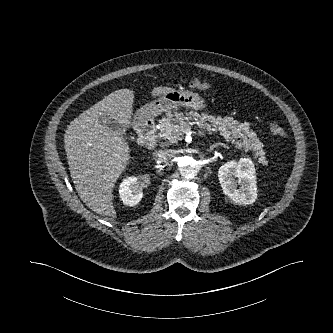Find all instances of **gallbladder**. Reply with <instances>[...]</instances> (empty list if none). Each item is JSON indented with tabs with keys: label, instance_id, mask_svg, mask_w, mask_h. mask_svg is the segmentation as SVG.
I'll use <instances>...</instances> for the list:
<instances>
[{
	"label": "gallbladder",
	"instance_id": "gallbladder-1",
	"mask_svg": "<svg viewBox=\"0 0 333 333\" xmlns=\"http://www.w3.org/2000/svg\"><path fill=\"white\" fill-rule=\"evenodd\" d=\"M103 124L109 128L111 131H113L118 136H124L125 135V127L121 124H119L117 121L109 118V117H103L102 118Z\"/></svg>",
	"mask_w": 333,
	"mask_h": 333
}]
</instances>
